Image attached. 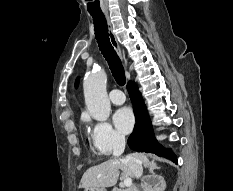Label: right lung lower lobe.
Masks as SVG:
<instances>
[{"label": "right lung lower lobe", "instance_id": "right-lung-lower-lobe-1", "mask_svg": "<svg viewBox=\"0 0 233 191\" xmlns=\"http://www.w3.org/2000/svg\"><path fill=\"white\" fill-rule=\"evenodd\" d=\"M127 89L134 104L136 124L133 133L128 138V145L138 152L155 153L177 163L176 156L169 149L160 146L153 134L151 121L147 109L141 99L140 93L134 82H129Z\"/></svg>", "mask_w": 233, "mask_h": 191}]
</instances>
